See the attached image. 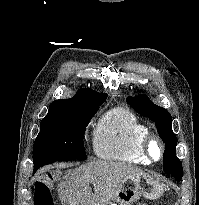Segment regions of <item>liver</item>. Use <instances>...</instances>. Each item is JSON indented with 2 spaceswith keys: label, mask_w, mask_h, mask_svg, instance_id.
<instances>
[{
  "label": "liver",
  "mask_w": 199,
  "mask_h": 205,
  "mask_svg": "<svg viewBox=\"0 0 199 205\" xmlns=\"http://www.w3.org/2000/svg\"><path fill=\"white\" fill-rule=\"evenodd\" d=\"M130 175L146 174L123 162H89L65 172L58 184L59 198L62 205H108L124 178ZM90 184L94 186V193Z\"/></svg>",
  "instance_id": "1"
}]
</instances>
